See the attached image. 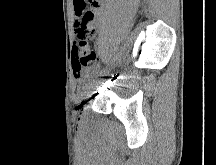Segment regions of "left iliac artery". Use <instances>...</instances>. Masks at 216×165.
I'll list each match as a JSON object with an SVG mask.
<instances>
[{
    "mask_svg": "<svg viewBox=\"0 0 216 165\" xmlns=\"http://www.w3.org/2000/svg\"><path fill=\"white\" fill-rule=\"evenodd\" d=\"M104 61H105V60L102 58V59L100 60V62L98 63V65H97V68H98V71H99V72H102V71H103V67H104V66H103V65H104L103 63H104Z\"/></svg>",
    "mask_w": 216,
    "mask_h": 165,
    "instance_id": "1",
    "label": "left iliac artery"
}]
</instances>
